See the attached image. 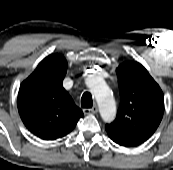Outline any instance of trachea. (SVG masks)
I'll return each mask as SVG.
<instances>
[{"label": "trachea", "instance_id": "trachea-1", "mask_svg": "<svg viewBox=\"0 0 173 170\" xmlns=\"http://www.w3.org/2000/svg\"><path fill=\"white\" fill-rule=\"evenodd\" d=\"M81 106L83 108H92L93 106V100L92 96L89 92H84L81 97Z\"/></svg>", "mask_w": 173, "mask_h": 170}]
</instances>
